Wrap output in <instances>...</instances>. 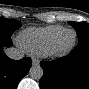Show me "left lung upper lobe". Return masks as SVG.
I'll use <instances>...</instances> for the list:
<instances>
[{
  "label": "left lung upper lobe",
  "instance_id": "5c2ea615",
  "mask_svg": "<svg viewBox=\"0 0 89 89\" xmlns=\"http://www.w3.org/2000/svg\"><path fill=\"white\" fill-rule=\"evenodd\" d=\"M77 32L78 39H89V24L86 22H68Z\"/></svg>",
  "mask_w": 89,
  "mask_h": 89
}]
</instances>
